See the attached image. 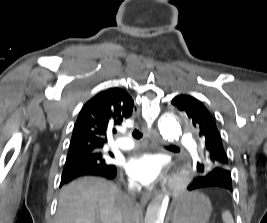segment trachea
<instances>
[{"label":"trachea","mask_w":267,"mask_h":223,"mask_svg":"<svg viewBox=\"0 0 267 223\" xmlns=\"http://www.w3.org/2000/svg\"><path fill=\"white\" fill-rule=\"evenodd\" d=\"M132 136L135 138V139H140L142 137V133L135 129L133 132H132Z\"/></svg>","instance_id":"obj_1"}]
</instances>
